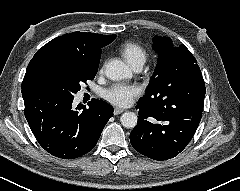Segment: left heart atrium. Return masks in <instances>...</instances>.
Instances as JSON below:
<instances>
[{"mask_svg":"<svg viewBox=\"0 0 240 191\" xmlns=\"http://www.w3.org/2000/svg\"><path fill=\"white\" fill-rule=\"evenodd\" d=\"M139 92L140 89L136 85L118 83L107 89L103 96L112 104L123 107L130 104L138 96Z\"/></svg>","mask_w":240,"mask_h":191,"instance_id":"1","label":"left heart atrium"}]
</instances>
